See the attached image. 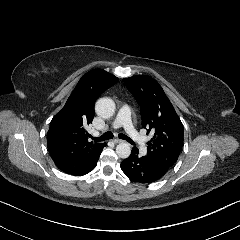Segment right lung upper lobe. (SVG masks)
Returning a JSON list of instances; mask_svg holds the SVG:
<instances>
[{
  "instance_id": "1",
  "label": "right lung upper lobe",
  "mask_w": 240,
  "mask_h": 240,
  "mask_svg": "<svg viewBox=\"0 0 240 240\" xmlns=\"http://www.w3.org/2000/svg\"><path fill=\"white\" fill-rule=\"evenodd\" d=\"M117 81L116 76L102 69L87 72L52 119L47 146L54 163L65 173L84 169L106 146V143L89 142L85 127L94 118L96 99Z\"/></svg>"
}]
</instances>
